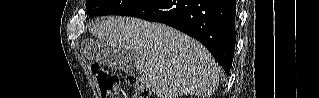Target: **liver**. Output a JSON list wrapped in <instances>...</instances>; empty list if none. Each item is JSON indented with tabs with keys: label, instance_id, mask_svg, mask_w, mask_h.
<instances>
[{
	"label": "liver",
	"instance_id": "1",
	"mask_svg": "<svg viewBox=\"0 0 319 98\" xmlns=\"http://www.w3.org/2000/svg\"><path fill=\"white\" fill-rule=\"evenodd\" d=\"M89 31L101 44L134 54L140 81L158 98H209L219 85L220 67L209 51L174 28L115 16L95 22Z\"/></svg>",
	"mask_w": 319,
	"mask_h": 98
}]
</instances>
